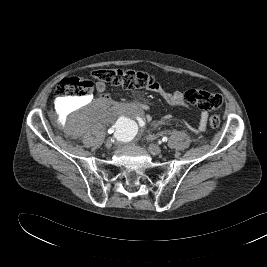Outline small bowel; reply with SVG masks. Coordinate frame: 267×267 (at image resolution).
Instances as JSON below:
<instances>
[{"instance_id":"c3829d8e","label":"small bowel","mask_w":267,"mask_h":267,"mask_svg":"<svg viewBox=\"0 0 267 267\" xmlns=\"http://www.w3.org/2000/svg\"><path fill=\"white\" fill-rule=\"evenodd\" d=\"M96 90L99 94H103L106 90V86L103 82H98L96 85ZM154 92H156L157 94H159L164 101L171 107H186V101L184 99V93L181 91H175V92H168L166 91L162 86H160L159 84H157L154 88L150 89ZM106 99H108V97L105 96ZM168 118L167 116L165 117V119ZM207 118H208V114L206 111H202L200 114V120H199V124H198V130L199 131H204L206 129L207 126ZM146 120L147 121H151L152 117L150 115L146 116ZM161 121H156L155 124H160Z\"/></svg>"}]
</instances>
